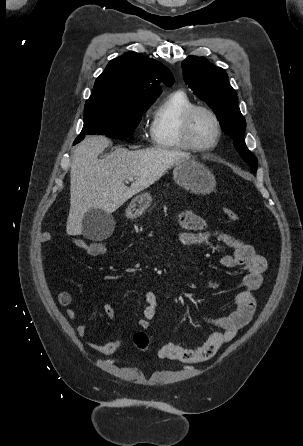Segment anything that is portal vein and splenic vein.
Here are the masks:
<instances>
[{"mask_svg": "<svg viewBox=\"0 0 303 446\" xmlns=\"http://www.w3.org/2000/svg\"><path fill=\"white\" fill-rule=\"evenodd\" d=\"M128 179H129V180H133V177H129Z\"/></svg>", "mask_w": 303, "mask_h": 446, "instance_id": "18ae733b", "label": "portal vein and splenic vein"}]
</instances>
